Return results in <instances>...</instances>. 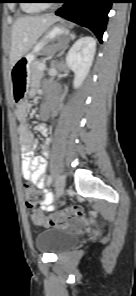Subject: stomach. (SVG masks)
Listing matches in <instances>:
<instances>
[{"instance_id": "0dacf381", "label": "stomach", "mask_w": 136, "mask_h": 296, "mask_svg": "<svg viewBox=\"0 0 136 296\" xmlns=\"http://www.w3.org/2000/svg\"><path fill=\"white\" fill-rule=\"evenodd\" d=\"M69 30L62 26H54L45 35L44 39L38 42L33 48L32 52L23 55L12 66V79L13 84H28L30 75L33 74V63L36 54L44 47V45L57 37H67ZM14 97L16 105L22 104V98H25L26 90H30V85H13Z\"/></svg>"}]
</instances>
